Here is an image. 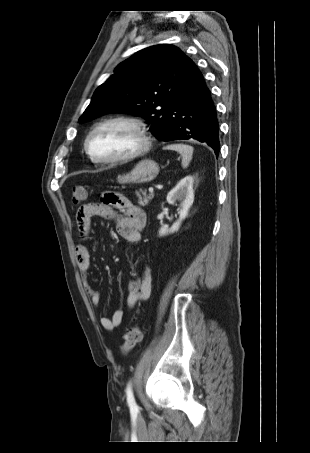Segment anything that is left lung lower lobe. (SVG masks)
<instances>
[{"mask_svg":"<svg viewBox=\"0 0 310 453\" xmlns=\"http://www.w3.org/2000/svg\"><path fill=\"white\" fill-rule=\"evenodd\" d=\"M160 139H194L207 143L217 156L219 154L216 107L205 79L193 61L180 94L169 112Z\"/></svg>","mask_w":310,"mask_h":453,"instance_id":"obj_1","label":"left lung lower lobe"}]
</instances>
